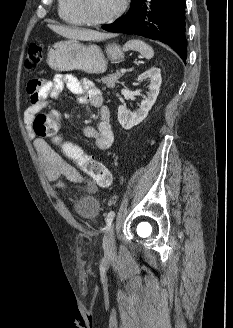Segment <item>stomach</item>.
Instances as JSON below:
<instances>
[{"label": "stomach", "instance_id": "obj_1", "mask_svg": "<svg viewBox=\"0 0 233 328\" xmlns=\"http://www.w3.org/2000/svg\"><path fill=\"white\" fill-rule=\"evenodd\" d=\"M106 54L111 61L123 59L124 54L116 43L106 46ZM48 65L56 71L82 70L86 73H103L107 59L96 44H82L76 40L60 41L49 50Z\"/></svg>", "mask_w": 233, "mask_h": 328}]
</instances>
